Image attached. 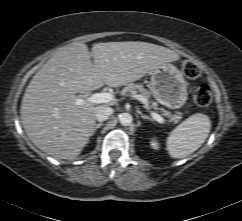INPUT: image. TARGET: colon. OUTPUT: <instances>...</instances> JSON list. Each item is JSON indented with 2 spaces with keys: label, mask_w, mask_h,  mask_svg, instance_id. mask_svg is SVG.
Masks as SVG:
<instances>
[{
  "label": "colon",
  "mask_w": 242,
  "mask_h": 221,
  "mask_svg": "<svg viewBox=\"0 0 242 221\" xmlns=\"http://www.w3.org/2000/svg\"><path fill=\"white\" fill-rule=\"evenodd\" d=\"M184 75L188 78L195 79L200 76L201 70L197 64L192 61H184L181 65ZM193 100L200 107H206L211 103L212 93L207 85L197 87L193 92Z\"/></svg>",
  "instance_id": "colon-1"
}]
</instances>
